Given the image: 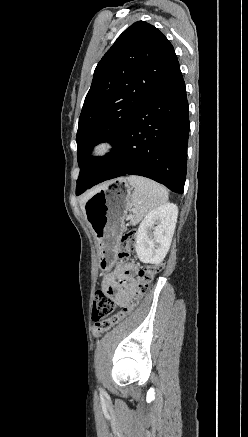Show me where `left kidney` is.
Wrapping results in <instances>:
<instances>
[{
  "label": "left kidney",
  "mask_w": 248,
  "mask_h": 437,
  "mask_svg": "<svg viewBox=\"0 0 248 437\" xmlns=\"http://www.w3.org/2000/svg\"><path fill=\"white\" fill-rule=\"evenodd\" d=\"M177 216V206L167 203L145 217L136 234V253L141 262L163 261L171 245Z\"/></svg>",
  "instance_id": "obj_1"
}]
</instances>
